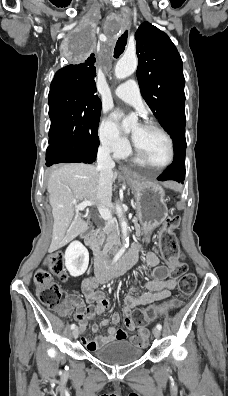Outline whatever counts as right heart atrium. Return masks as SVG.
Segmentation results:
<instances>
[{
	"label": "right heart atrium",
	"instance_id": "1",
	"mask_svg": "<svg viewBox=\"0 0 228 396\" xmlns=\"http://www.w3.org/2000/svg\"><path fill=\"white\" fill-rule=\"evenodd\" d=\"M100 146L116 158H122L129 152V143L115 130L112 123L102 118L97 129Z\"/></svg>",
	"mask_w": 228,
	"mask_h": 396
}]
</instances>
